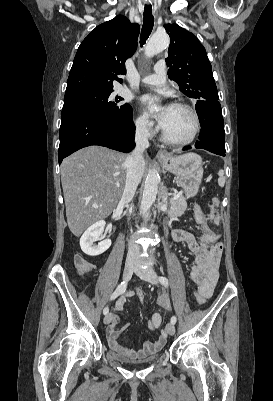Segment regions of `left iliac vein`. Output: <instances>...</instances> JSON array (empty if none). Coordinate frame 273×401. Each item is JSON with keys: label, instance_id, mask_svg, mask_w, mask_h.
Segmentation results:
<instances>
[{"label": "left iliac vein", "instance_id": "4c4485c4", "mask_svg": "<svg viewBox=\"0 0 273 401\" xmlns=\"http://www.w3.org/2000/svg\"><path fill=\"white\" fill-rule=\"evenodd\" d=\"M135 273L137 276H139L141 279L148 281L152 284H157L158 283V278L156 275V272L150 268L148 269H140V268H136L135 269ZM166 332L169 335H174L175 334V326L173 323H168L165 327Z\"/></svg>", "mask_w": 273, "mask_h": 401}]
</instances>
